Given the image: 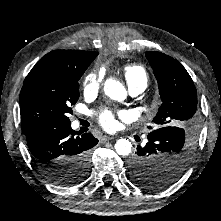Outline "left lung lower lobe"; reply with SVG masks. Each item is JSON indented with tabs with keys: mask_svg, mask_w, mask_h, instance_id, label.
I'll return each instance as SVG.
<instances>
[{
	"mask_svg": "<svg viewBox=\"0 0 221 221\" xmlns=\"http://www.w3.org/2000/svg\"><path fill=\"white\" fill-rule=\"evenodd\" d=\"M174 134H175V131H171V130H163V131L157 132L154 136H151L148 138L149 140L148 143H156L158 141L157 139L172 137L174 136ZM144 147H141V146L137 147V152H135V155L132 157L129 163L130 176H131V179H132V175L148 176L149 184L152 186H156L157 184L161 183L160 180L167 178V176L161 173H158L157 171L147 174L149 173L147 171L151 169L147 168L148 165L142 158V154L144 153L143 150L145 149Z\"/></svg>",
	"mask_w": 221,
	"mask_h": 221,
	"instance_id": "obj_1",
	"label": "left lung lower lobe"
}]
</instances>
